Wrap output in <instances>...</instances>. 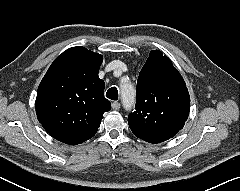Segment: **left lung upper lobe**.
Returning a JSON list of instances; mask_svg holds the SVG:
<instances>
[{
  "mask_svg": "<svg viewBox=\"0 0 240 191\" xmlns=\"http://www.w3.org/2000/svg\"><path fill=\"white\" fill-rule=\"evenodd\" d=\"M190 96L185 81L169 58L150 52L137 81L136 110L128 116L131 131L150 143L166 141L188 118Z\"/></svg>",
  "mask_w": 240,
  "mask_h": 191,
  "instance_id": "1",
  "label": "left lung upper lobe"
}]
</instances>
